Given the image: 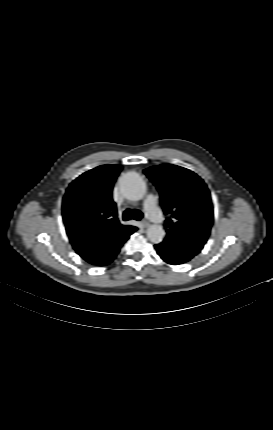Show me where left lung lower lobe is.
Returning a JSON list of instances; mask_svg holds the SVG:
<instances>
[{"label": "left lung lower lobe", "instance_id": "0a47b994", "mask_svg": "<svg viewBox=\"0 0 273 430\" xmlns=\"http://www.w3.org/2000/svg\"><path fill=\"white\" fill-rule=\"evenodd\" d=\"M170 246L171 245L168 240H164L160 244L155 245L157 253L165 262L172 265H178L189 261L186 257L182 256L178 250H171Z\"/></svg>", "mask_w": 273, "mask_h": 430}]
</instances>
